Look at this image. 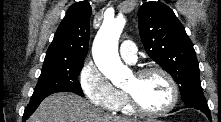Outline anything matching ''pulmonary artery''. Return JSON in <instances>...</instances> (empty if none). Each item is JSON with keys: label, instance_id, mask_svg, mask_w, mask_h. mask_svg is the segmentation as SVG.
<instances>
[{"label": "pulmonary artery", "instance_id": "1", "mask_svg": "<svg viewBox=\"0 0 221 122\" xmlns=\"http://www.w3.org/2000/svg\"><path fill=\"white\" fill-rule=\"evenodd\" d=\"M121 57L128 63H135L137 61V48L130 40H125L121 43L119 48Z\"/></svg>", "mask_w": 221, "mask_h": 122}]
</instances>
